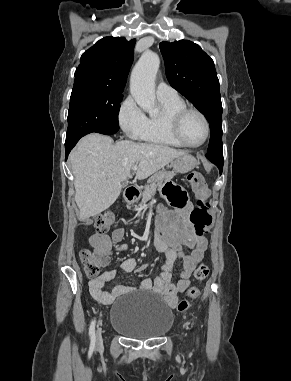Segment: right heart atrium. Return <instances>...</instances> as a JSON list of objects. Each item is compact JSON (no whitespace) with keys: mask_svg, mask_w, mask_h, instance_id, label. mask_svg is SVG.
<instances>
[{"mask_svg":"<svg viewBox=\"0 0 291 381\" xmlns=\"http://www.w3.org/2000/svg\"><path fill=\"white\" fill-rule=\"evenodd\" d=\"M118 122L129 138L141 137L146 124V116L133 97L128 96L122 101L118 110Z\"/></svg>","mask_w":291,"mask_h":381,"instance_id":"right-heart-atrium-1","label":"right heart atrium"}]
</instances>
